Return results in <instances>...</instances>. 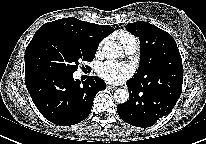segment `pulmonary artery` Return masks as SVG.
I'll use <instances>...</instances> for the list:
<instances>
[{
    "mask_svg": "<svg viewBox=\"0 0 206 144\" xmlns=\"http://www.w3.org/2000/svg\"><path fill=\"white\" fill-rule=\"evenodd\" d=\"M123 47L127 54H133L136 52L137 47H138L137 41L135 39L130 40Z\"/></svg>",
    "mask_w": 206,
    "mask_h": 144,
    "instance_id": "obj_1",
    "label": "pulmonary artery"
}]
</instances>
